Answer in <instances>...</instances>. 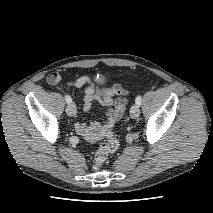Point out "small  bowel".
Masks as SVG:
<instances>
[{
  "instance_id": "c3829d8e",
  "label": "small bowel",
  "mask_w": 213,
  "mask_h": 213,
  "mask_svg": "<svg viewBox=\"0 0 213 213\" xmlns=\"http://www.w3.org/2000/svg\"><path fill=\"white\" fill-rule=\"evenodd\" d=\"M47 82L50 85H57L61 82V76L57 73H52L51 75L48 76ZM68 85L76 88L84 87V95L82 101H83V110L85 112H88L92 108L93 103L98 100L99 94L101 93V90L98 89L93 84L91 79L87 76L78 77L76 80L68 82ZM104 94L106 97H108L111 94H119L123 96L124 90L120 86L115 85L104 91ZM105 103L111 105L108 99L105 100ZM125 105L126 99L124 97L117 99L111 105L107 114V120L104 123L93 122L87 124L84 122H77L75 124V129L77 133L83 136L86 140L91 142H94L102 138L104 129L107 126H112L121 117Z\"/></svg>"
}]
</instances>
